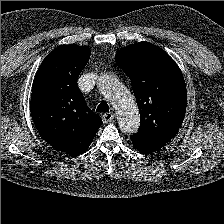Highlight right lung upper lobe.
Returning a JSON list of instances; mask_svg holds the SVG:
<instances>
[{
	"mask_svg": "<svg viewBox=\"0 0 224 224\" xmlns=\"http://www.w3.org/2000/svg\"><path fill=\"white\" fill-rule=\"evenodd\" d=\"M90 53L85 46L57 47L42 61L32 85L30 110L38 132L72 156L86 152L102 124L76 84Z\"/></svg>",
	"mask_w": 224,
	"mask_h": 224,
	"instance_id": "right-lung-upper-lobe-1",
	"label": "right lung upper lobe"
}]
</instances>
